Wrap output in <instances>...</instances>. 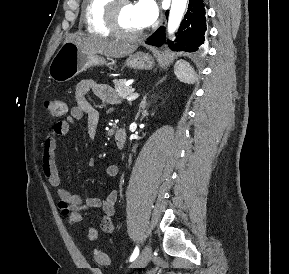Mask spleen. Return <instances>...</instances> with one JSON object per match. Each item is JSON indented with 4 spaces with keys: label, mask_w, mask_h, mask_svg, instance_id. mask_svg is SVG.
<instances>
[{
    "label": "spleen",
    "mask_w": 289,
    "mask_h": 274,
    "mask_svg": "<svg viewBox=\"0 0 289 274\" xmlns=\"http://www.w3.org/2000/svg\"><path fill=\"white\" fill-rule=\"evenodd\" d=\"M174 73L181 82L188 84L195 82L196 76L194 69L186 61L179 60L175 65Z\"/></svg>",
    "instance_id": "1"
}]
</instances>
